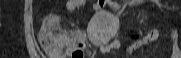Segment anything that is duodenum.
Wrapping results in <instances>:
<instances>
[{
    "instance_id": "duodenum-1",
    "label": "duodenum",
    "mask_w": 181,
    "mask_h": 58,
    "mask_svg": "<svg viewBox=\"0 0 181 58\" xmlns=\"http://www.w3.org/2000/svg\"><path fill=\"white\" fill-rule=\"evenodd\" d=\"M143 0H128V1H125L124 3L126 4V5H135V4H138V3H140V2H142Z\"/></svg>"
}]
</instances>
